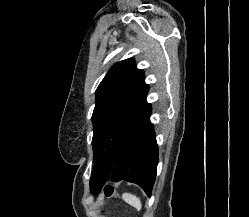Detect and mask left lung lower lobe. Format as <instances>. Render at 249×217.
<instances>
[{
    "label": "left lung lower lobe",
    "mask_w": 249,
    "mask_h": 217,
    "mask_svg": "<svg viewBox=\"0 0 249 217\" xmlns=\"http://www.w3.org/2000/svg\"><path fill=\"white\" fill-rule=\"evenodd\" d=\"M151 105L146 98L122 122L117 138L114 167L111 172L95 168L92 181L97 194L110 176L112 181L126 180L138 184L151 195L158 164V145L149 118Z\"/></svg>",
    "instance_id": "left-lung-lower-lobe-1"
}]
</instances>
